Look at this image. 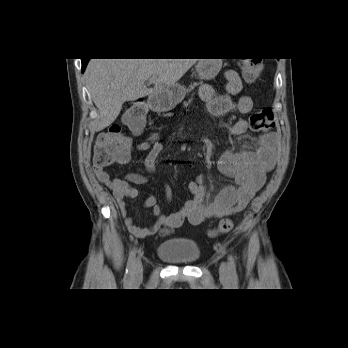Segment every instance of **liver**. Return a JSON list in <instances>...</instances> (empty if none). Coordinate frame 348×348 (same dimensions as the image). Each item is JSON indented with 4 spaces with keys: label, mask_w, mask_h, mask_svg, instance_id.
Returning <instances> with one entry per match:
<instances>
[{
    "label": "liver",
    "mask_w": 348,
    "mask_h": 348,
    "mask_svg": "<svg viewBox=\"0 0 348 348\" xmlns=\"http://www.w3.org/2000/svg\"><path fill=\"white\" fill-rule=\"evenodd\" d=\"M199 59H91L85 70L99 110L98 130L111 125L126 101L161 92L177 83ZM155 78L153 88L146 81Z\"/></svg>",
    "instance_id": "obj_1"
}]
</instances>
